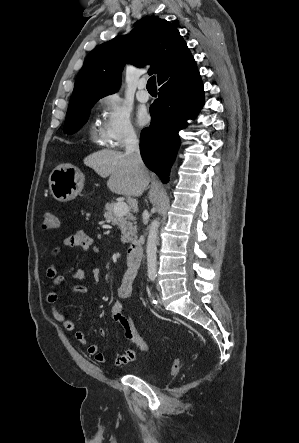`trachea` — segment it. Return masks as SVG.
Instances as JSON below:
<instances>
[{"mask_svg": "<svg viewBox=\"0 0 299 443\" xmlns=\"http://www.w3.org/2000/svg\"><path fill=\"white\" fill-rule=\"evenodd\" d=\"M147 90L149 92H157L156 79L155 76L149 78L147 82Z\"/></svg>", "mask_w": 299, "mask_h": 443, "instance_id": "obj_1", "label": "trachea"}]
</instances>
